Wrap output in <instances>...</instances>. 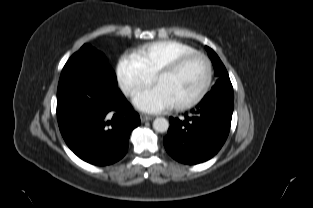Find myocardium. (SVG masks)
<instances>
[{
    "mask_svg": "<svg viewBox=\"0 0 313 208\" xmlns=\"http://www.w3.org/2000/svg\"><path fill=\"white\" fill-rule=\"evenodd\" d=\"M195 58H201L206 65V80L205 83L200 90V92L191 100L174 105V108L176 110H188L190 108H193L194 106L198 105L207 95V93L210 90L212 81H213V67L210 59L208 56H206L204 53L201 52H190L183 54L179 57H177L175 60L170 62L169 64L163 66L161 69L158 70V72L155 74V82L159 80L162 76L173 74L177 71H179L183 66H185L188 62Z\"/></svg>",
    "mask_w": 313,
    "mask_h": 208,
    "instance_id": "f54148a6",
    "label": "myocardium"
}]
</instances>
